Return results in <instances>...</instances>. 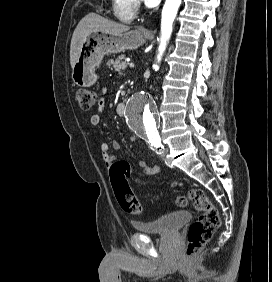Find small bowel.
Instances as JSON below:
<instances>
[{"mask_svg":"<svg viewBox=\"0 0 272 282\" xmlns=\"http://www.w3.org/2000/svg\"><path fill=\"white\" fill-rule=\"evenodd\" d=\"M105 91H106V89H103V92H105ZM104 105H105V101H104V99H101L99 101L97 113H95L91 116L90 122H91L92 125H98L99 124V122L101 120V113L104 109ZM130 140L135 142L137 140V138L132 136V137H130ZM111 146H112V149L114 151H118L119 148H120V145L116 140H114L112 142ZM100 149H101L103 160H104L105 164L108 165V166L111 165L113 163V161L115 160V156L109 154V145L107 143H102ZM123 163L129 170L130 169V163L127 162V161H124ZM140 167L142 168V171L146 175H153L157 170V167L150 166L145 160L140 161Z\"/></svg>","mask_w":272,"mask_h":282,"instance_id":"c3829d8e","label":"small bowel"}]
</instances>
